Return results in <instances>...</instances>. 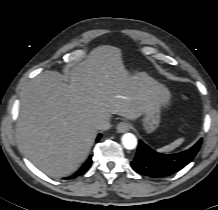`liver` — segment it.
Wrapping results in <instances>:
<instances>
[{
  "label": "liver",
  "mask_w": 218,
  "mask_h": 210,
  "mask_svg": "<svg viewBox=\"0 0 218 210\" xmlns=\"http://www.w3.org/2000/svg\"><path fill=\"white\" fill-rule=\"evenodd\" d=\"M152 98L168 105L171 94L145 72L130 75L120 50L99 46L71 69L69 82L47 71L26 86L20 98L19 142L39 170L51 177L68 176L88 157L99 122L111 114L137 119Z\"/></svg>",
  "instance_id": "1"
}]
</instances>
